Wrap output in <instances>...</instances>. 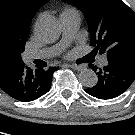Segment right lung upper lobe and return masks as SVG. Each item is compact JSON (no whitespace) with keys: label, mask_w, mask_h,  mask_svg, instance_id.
Instances as JSON below:
<instances>
[{"label":"right lung upper lobe","mask_w":135,"mask_h":135,"mask_svg":"<svg viewBox=\"0 0 135 135\" xmlns=\"http://www.w3.org/2000/svg\"><path fill=\"white\" fill-rule=\"evenodd\" d=\"M49 0H0V19L29 29L37 10Z\"/></svg>","instance_id":"right-lung-upper-lobe-1"}]
</instances>
